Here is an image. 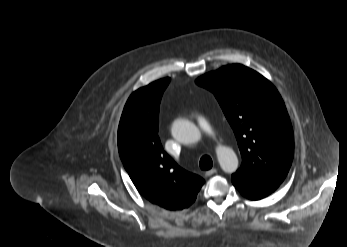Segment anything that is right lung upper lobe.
Here are the masks:
<instances>
[{"label":"right lung upper lobe","instance_id":"obj_1","mask_svg":"<svg viewBox=\"0 0 347 247\" xmlns=\"http://www.w3.org/2000/svg\"><path fill=\"white\" fill-rule=\"evenodd\" d=\"M170 79L136 90L126 102L118 128V149L137 190L169 210L189 207L204 180L179 167L158 137L159 104Z\"/></svg>","mask_w":347,"mask_h":247}]
</instances>
